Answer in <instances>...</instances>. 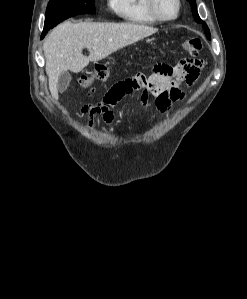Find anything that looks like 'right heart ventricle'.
I'll return each instance as SVG.
<instances>
[{"instance_id":"obj_1","label":"right heart ventricle","mask_w":247,"mask_h":299,"mask_svg":"<svg viewBox=\"0 0 247 299\" xmlns=\"http://www.w3.org/2000/svg\"><path fill=\"white\" fill-rule=\"evenodd\" d=\"M110 9L122 20L141 25H155L158 21L151 15L147 0H108Z\"/></svg>"}]
</instances>
